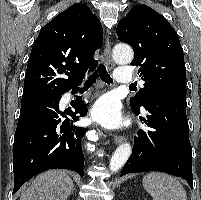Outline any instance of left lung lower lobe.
Segmentation results:
<instances>
[{"label": "left lung lower lobe", "mask_w": 201, "mask_h": 200, "mask_svg": "<svg viewBox=\"0 0 201 200\" xmlns=\"http://www.w3.org/2000/svg\"><path fill=\"white\" fill-rule=\"evenodd\" d=\"M186 105V94L177 92L160 93L147 99L143 104L148 112L144 122L151 130H139L132 154L121 176L127 173L161 171L182 177L193 187ZM139 112L134 111L137 115Z\"/></svg>", "instance_id": "obj_1"}]
</instances>
